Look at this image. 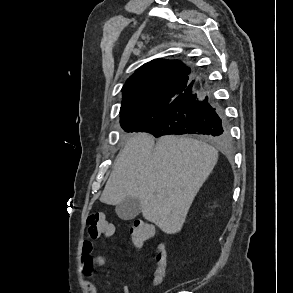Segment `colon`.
I'll list each match as a JSON object with an SVG mask.
<instances>
[{"label":"colon","instance_id":"1","mask_svg":"<svg viewBox=\"0 0 293 293\" xmlns=\"http://www.w3.org/2000/svg\"><path fill=\"white\" fill-rule=\"evenodd\" d=\"M88 234L91 238L97 239L101 236H112L114 228L100 211H93L87 217ZM129 234L135 246H142L156 236V229L144 219H135L130 228ZM157 267L154 273V281L160 283L166 271V256L163 247L159 248L156 255Z\"/></svg>","mask_w":293,"mask_h":293}]
</instances>
